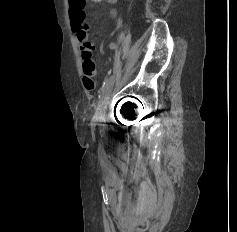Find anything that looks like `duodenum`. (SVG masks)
Wrapping results in <instances>:
<instances>
[{"label": "duodenum", "instance_id": "1", "mask_svg": "<svg viewBox=\"0 0 237 232\" xmlns=\"http://www.w3.org/2000/svg\"><path fill=\"white\" fill-rule=\"evenodd\" d=\"M108 3H115L117 0H107Z\"/></svg>", "mask_w": 237, "mask_h": 232}]
</instances>
